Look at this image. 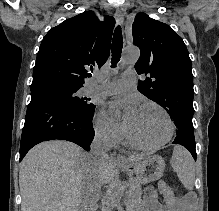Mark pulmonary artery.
Masks as SVG:
<instances>
[{"mask_svg":"<svg viewBox=\"0 0 219 211\" xmlns=\"http://www.w3.org/2000/svg\"><path fill=\"white\" fill-rule=\"evenodd\" d=\"M135 70L127 69L120 79L108 83L99 84L97 77L93 78L89 85L82 90L84 95L101 94L105 96L122 93L135 83Z\"/></svg>","mask_w":219,"mask_h":211,"instance_id":"obj_1","label":"pulmonary artery"}]
</instances>
